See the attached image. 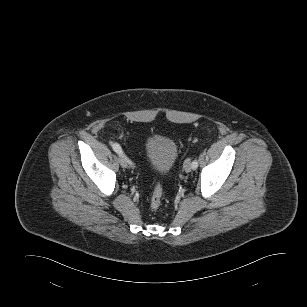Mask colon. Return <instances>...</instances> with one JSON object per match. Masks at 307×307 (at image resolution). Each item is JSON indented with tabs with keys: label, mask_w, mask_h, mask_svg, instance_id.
I'll list each match as a JSON object with an SVG mask.
<instances>
[{
	"label": "colon",
	"mask_w": 307,
	"mask_h": 307,
	"mask_svg": "<svg viewBox=\"0 0 307 307\" xmlns=\"http://www.w3.org/2000/svg\"><path fill=\"white\" fill-rule=\"evenodd\" d=\"M162 199H163V188L162 185L159 182H157L154 185L151 195V201H150L151 208L154 210L158 209L162 204Z\"/></svg>",
	"instance_id": "1"
}]
</instances>
